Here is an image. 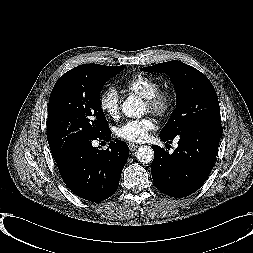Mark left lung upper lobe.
<instances>
[{"instance_id": "5c2ea615", "label": "left lung upper lobe", "mask_w": 253, "mask_h": 253, "mask_svg": "<svg viewBox=\"0 0 253 253\" xmlns=\"http://www.w3.org/2000/svg\"><path fill=\"white\" fill-rule=\"evenodd\" d=\"M141 70L168 74L176 90V108L161 130V136L171 139L193 126L221 128L216 91L199 70L177 60Z\"/></svg>"}]
</instances>
